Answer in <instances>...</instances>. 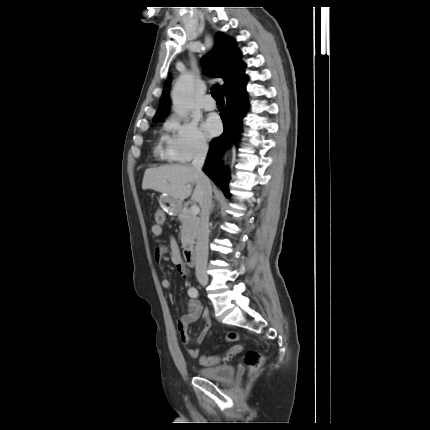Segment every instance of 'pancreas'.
Wrapping results in <instances>:
<instances>
[{"mask_svg": "<svg viewBox=\"0 0 430 430\" xmlns=\"http://www.w3.org/2000/svg\"><path fill=\"white\" fill-rule=\"evenodd\" d=\"M181 226V242L184 246L194 242L199 227V218L193 215L190 209H184L179 216Z\"/></svg>", "mask_w": 430, "mask_h": 430, "instance_id": "obj_1", "label": "pancreas"}]
</instances>
